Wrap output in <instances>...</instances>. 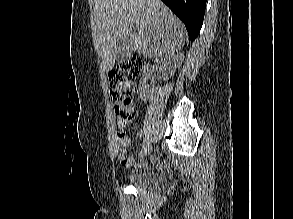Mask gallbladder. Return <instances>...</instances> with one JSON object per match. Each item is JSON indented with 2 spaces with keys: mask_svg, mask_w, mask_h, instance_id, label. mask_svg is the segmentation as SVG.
<instances>
[{
  "mask_svg": "<svg viewBox=\"0 0 293 219\" xmlns=\"http://www.w3.org/2000/svg\"><path fill=\"white\" fill-rule=\"evenodd\" d=\"M131 39L129 36L121 37L116 44L115 57L117 63H122L130 59L132 55Z\"/></svg>",
  "mask_w": 293,
  "mask_h": 219,
  "instance_id": "bac80fb5",
  "label": "gallbladder"
}]
</instances>
